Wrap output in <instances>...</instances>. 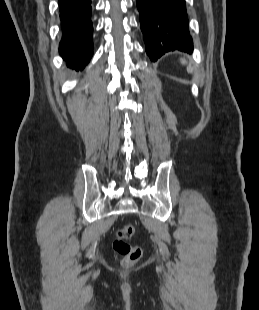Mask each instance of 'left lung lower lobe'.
I'll return each mask as SVG.
<instances>
[{
	"label": "left lung lower lobe",
	"mask_w": 259,
	"mask_h": 310,
	"mask_svg": "<svg viewBox=\"0 0 259 310\" xmlns=\"http://www.w3.org/2000/svg\"><path fill=\"white\" fill-rule=\"evenodd\" d=\"M137 8L151 61L174 50L193 51L185 0H137Z\"/></svg>",
	"instance_id": "1"
}]
</instances>
